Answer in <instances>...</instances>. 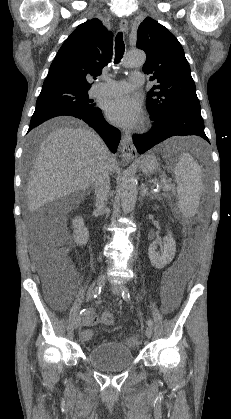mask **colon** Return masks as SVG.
<instances>
[{
    "instance_id": "5ec220e1",
    "label": "colon",
    "mask_w": 231,
    "mask_h": 419,
    "mask_svg": "<svg viewBox=\"0 0 231 419\" xmlns=\"http://www.w3.org/2000/svg\"><path fill=\"white\" fill-rule=\"evenodd\" d=\"M41 269L48 286L53 290L66 291L75 279V273L61 248L43 255ZM101 319L105 325H111L114 321L110 312H103ZM127 343L129 346H136L138 342L137 339L130 338Z\"/></svg>"
}]
</instances>
